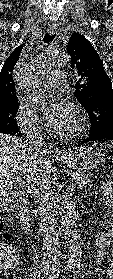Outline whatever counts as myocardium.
<instances>
[{"mask_svg": "<svg viewBox=\"0 0 113 279\" xmlns=\"http://www.w3.org/2000/svg\"><path fill=\"white\" fill-rule=\"evenodd\" d=\"M72 108L77 117L76 125L72 131L62 134V136L65 138H76L85 133L88 127L87 119L82 109L76 104H72Z\"/></svg>", "mask_w": 113, "mask_h": 279, "instance_id": "f54148a6", "label": "myocardium"}]
</instances>
